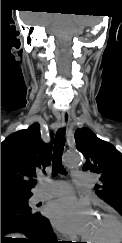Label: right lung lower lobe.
I'll use <instances>...</instances> for the list:
<instances>
[{"instance_id": "right-lung-lower-lobe-1", "label": "right lung lower lobe", "mask_w": 122, "mask_h": 243, "mask_svg": "<svg viewBox=\"0 0 122 243\" xmlns=\"http://www.w3.org/2000/svg\"><path fill=\"white\" fill-rule=\"evenodd\" d=\"M11 232H19L26 237H4ZM51 237L50 222L40 212L25 205L1 204V243H58Z\"/></svg>"}]
</instances>
